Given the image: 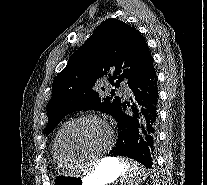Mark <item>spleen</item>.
I'll return each instance as SVG.
<instances>
[{
    "label": "spleen",
    "instance_id": "obj_1",
    "mask_svg": "<svg viewBox=\"0 0 207 185\" xmlns=\"http://www.w3.org/2000/svg\"><path fill=\"white\" fill-rule=\"evenodd\" d=\"M120 163H124V171H128L127 174H121V183L134 185L141 183V179H150L147 167L139 166V162H133V158H120Z\"/></svg>",
    "mask_w": 207,
    "mask_h": 185
}]
</instances>
